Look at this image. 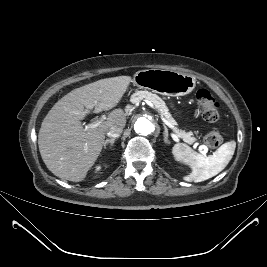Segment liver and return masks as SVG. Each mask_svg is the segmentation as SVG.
I'll list each match as a JSON object with an SVG mask.
<instances>
[{"mask_svg": "<svg viewBox=\"0 0 267 267\" xmlns=\"http://www.w3.org/2000/svg\"><path fill=\"white\" fill-rule=\"evenodd\" d=\"M130 76L101 79L76 88L62 97L45 116L38 134V146L47 168L63 180L80 182L100 155L105 133L111 126L124 127L126 115L112 112L100 126L85 130L81 120L84 108L94 113L118 105Z\"/></svg>", "mask_w": 267, "mask_h": 267, "instance_id": "obj_1", "label": "liver"}]
</instances>
